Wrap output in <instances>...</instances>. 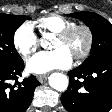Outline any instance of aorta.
<instances>
[{"label":"aorta","instance_id":"762f6f07","mask_svg":"<svg viewBox=\"0 0 112 112\" xmlns=\"http://www.w3.org/2000/svg\"><path fill=\"white\" fill-rule=\"evenodd\" d=\"M40 44L42 47H47V41L45 39H41ZM68 84L69 81L67 76L62 73L55 72L49 76V85L57 91H66L68 88Z\"/></svg>","mask_w":112,"mask_h":112}]
</instances>
